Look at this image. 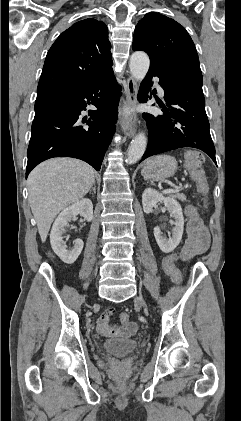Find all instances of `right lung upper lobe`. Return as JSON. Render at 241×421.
<instances>
[{"label":"right lung upper lobe","instance_id":"1","mask_svg":"<svg viewBox=\"0 0 241 421\" xmlns=\"http://www.w3.org/2000/svg\"><path fill=\"white\" fill-rule=\"evenodd\" d=\"M107 26L94 18L76 22L47 53L37 96L90 83L112 69Z\"/></svg>","mask_w":241,"mask_h":421}]
</instances>
